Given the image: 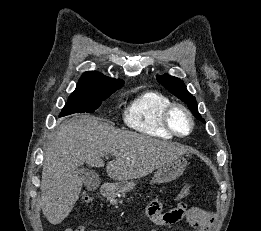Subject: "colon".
I'll return each instance as SVG.
<instances>
[{"label": "colon", "mask_w": 261, "mask_h": 231, "mask_svg": "<svg viewBox=\"0 0 261 231\" xmlns=\"http://www.w3.org/2000/svg\"><path fill=\"white\" fill-rule=\"evenodd\" d=\"M189 191L188 186H184L181 193L185 194ZM85 202H90L91 198L89 196H84ZM212 221V213L203 209L194 208L191 209L189 222L195 231H206Z\"/></svg>", "instance_id": "1"}]
</instances>
